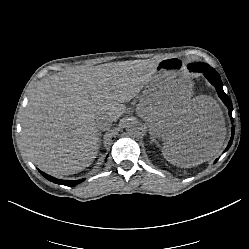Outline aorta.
<instances>
[{
  "mask_svg": "<svg viewBox=\"0 0 249 249\" xmlns=\"http://www.w3.org/2000/svg\"><path fill=\"white\" fill-rule=\"evenodd\" d=\"M143 125L137 120H131L126 124V131L129 136L138 137L143 134Z\"/></svg>",
  "mask_w": 249,
  "mask_h": 249,
  "instance_id": "1",
  "label": "aorta"
}]
</instances>
